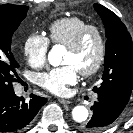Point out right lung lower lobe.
Listing matches in <instances>:
<instances>
[{
	"label": "right lung lower lobe",
	"mask_w": 133,
	"mask_h": 133,
	"mask_svg": "<svg viewBox=\"0 0 133 133\" xmlns=\"http://www.w3.org/2000/svg\"><path fill=\"white\" fill-rule=\"evenodd\" d=\"M46 102V98L34 94L26 102L23 97L16 96L13 90L0 95V132L25 130Z\"/></svg>",
	"instance_id": "right-lung-lower-lobe-1"
}]
</instances>
